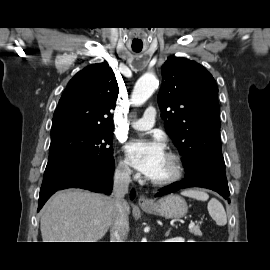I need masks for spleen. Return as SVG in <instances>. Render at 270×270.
I'll return each mask as SVG.
<instances>
[{"label": "spleen", "mask_w": 270, "mask_h": 270, "mask_svg": "<svg viewBox=\"0 0 270 270\" xmlns=\"http://www.w3.org/2000/svg\"><path fill=\"white\" fill-rule=\"evenodd\" d=\"M182 195L200 200L207 201L209 199V195L204 191L199 190H185L181 192ZM208 212L212 219L215 220L216 224L219 226H224L227 223V216L223 205L215 198H212L208 202Z\"/></svg>", "instance_id": "spleen-1"}]
</instances>
